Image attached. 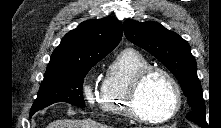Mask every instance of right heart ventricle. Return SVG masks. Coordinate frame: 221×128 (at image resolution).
<instances>
[{
  "label": "right heart ventricle",
  "mask_w": 221,
  "mask_h": 128,
  "mask_svg": "<svg viewBox=\"0 0 221 128\" xmlns=\"http://www.w3.org/2000/svg\"><path fill=\"white\" fill-rule=\"evenodd\" d=\"M150 66L148 59L139 51L127 48L110 62L101 84L98 104L100 109L117 117L127 116V96L135 76Z\"/></svg>",
  "instance_id": "e07e8e85"
}]
</instances>
